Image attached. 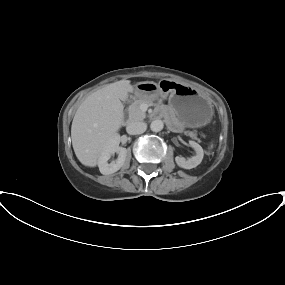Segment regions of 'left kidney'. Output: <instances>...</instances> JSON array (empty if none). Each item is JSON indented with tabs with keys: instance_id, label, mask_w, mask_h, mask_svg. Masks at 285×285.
<instances>
[{
	"instance_id": "left-kidney-1",
	"label": "left kidney",
	"mask_w": 285,
	"mask_h": 285,
	"mask_svg": "<svg viewBox=\"0 0 285 285\" xmlns=\"http://www.w3.org/2000/svg\"><path fill=\"white\" fill-rule=\"evenodd\" d=\"M189 144L192 148H194L196 155L189 158L188 160L178 156L175 158L177 165L184 169H192L197 167L201 163L204 156V151L198 143L195 141H189Z\"/></svg>"
}]
</instances>
